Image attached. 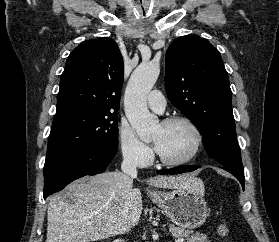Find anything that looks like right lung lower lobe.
I'll use <instances>...</instances> for the list:
<instances>
[{
	"label": "right lung lower lobe",
	"mask_w": 279,
	"mask_h": 242,
	"mask_svg": "<svg viewBox=\"0 0 279 242\" xmlns=\"http://www.w3.org/2000/svg\"><path fill=\"white\" fill-rule=\"evenodd\" d=\"M115 149L84 150L44 165V192L49 195L62 190L75 179L104 172L116 154Z\"/></svg>",
	"instance_id": "98d812e1"
}]
</instances>
